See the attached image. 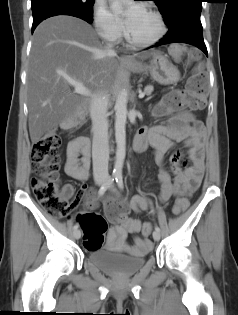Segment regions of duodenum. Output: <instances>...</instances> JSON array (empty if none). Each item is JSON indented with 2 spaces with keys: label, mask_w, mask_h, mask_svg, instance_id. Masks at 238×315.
<instances>
[{
  "label": "duodenum",
  "mask_w": 238,
  "mask_h": 315,
  "mask_svg": "<svg viewBox=\"0 0 238 315\" xmlns=\"http://www.w3.org/2000/svg\"><path fill=\"white\" fill-rule=\"evenodd\" d=\"M133 149H134V151L139 152V147H138V144L135 140L133 142Z\"/></svg>",
  "instance_id": "obj_1"
}]
</instances>
